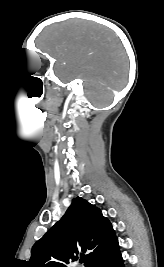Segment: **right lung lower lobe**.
<instances>
[{
	"label": "right lung lower lobe",
	"mask_w": 164,
	"mask_h": 267,
	"mask_svg": "<svg viewBox=\"0 0 164 267\" xmlns=\"http://www.w3.org/2000/svg\"><path fill=\"white\" fill-rule=\"evenodd\" d=\"M91 267H124L119 248L99 257L93 262Z\"/></svg>",
	"instance_id": "obj_1"
}]
</instances>
